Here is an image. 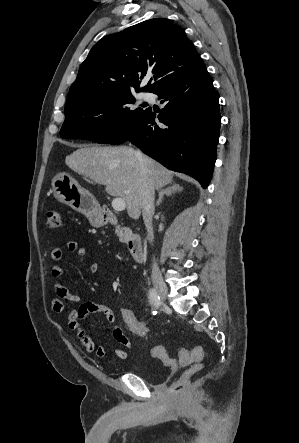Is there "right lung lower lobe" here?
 <instances>
[{"label":"right lung lower lobe","instance_id":"1","mask_svg":"<svg viewBox=\"0 0 299 443\" xmlns=\"http://www.w3.org/2000/svg\"><path fill=\"white\" fill-rule=\"evenodd\" d=\"M154 94L165 107L151 108L133 119L109 144L130 141L167 168L209 184L216 160L221 116L219 101L206 68L173 80Z\"/></svg>","mask_w":299,"mask_h":443}]
</instances>
